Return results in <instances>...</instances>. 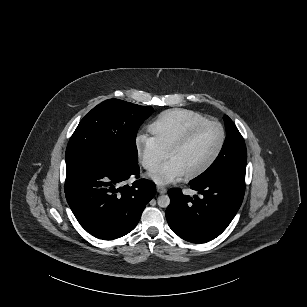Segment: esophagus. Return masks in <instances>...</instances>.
Masks as SVG:
<instances>
[{"label": "esophagus", "instance_id": "1", "mask_svg": "<svg viewBox=\"0 0 307 307\" xmlns=\"http://www.w3.org/2000/svg\"><path fill=\"white\" fill-rule=\"evenodd\" d=\"M156 190H157L158 194H166L167 193L166 188H164L162 186H157Z\"/></svg>", "mask_w": 307, "mask_h": 307}]
</instances>
